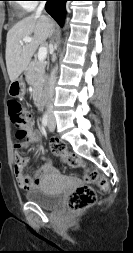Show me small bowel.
Masks as SVG:
<instances>
[{
	"instance_id": "obj_1",
	"label": "small bowel",
	"mask_w": 133,
	"mask_h": 253,
	"mask_svg": "<svg viewBox=\"0 0 133 253\" xmlns=\"http://www.w3.org/2000/svg\"><path fill=\"white\" fill-rule=\"evenodd\" d=\"M41 136L40 134L32 130L30 135L23 142L16 143L14 145L15 148V162H14V173L16 181L20 188L24 190H30L33 188L39 187L43 181V175L54 173L55 169L51 163L50 159H47L45 164L42 165L34 177H30L25 174V166L27 165L29 159L20 155L22 150H26L30 147V145L40 142ZM87 181H90L89 177H86Z\"/></svg>"
}]
</instances>
